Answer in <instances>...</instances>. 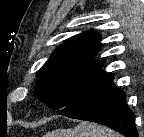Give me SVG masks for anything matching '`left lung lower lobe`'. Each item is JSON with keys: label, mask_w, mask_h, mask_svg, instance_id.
<instances>
[{"label": "left lung lower lobe", "mask_w": 144, "mask_h": 137, "mask_svg": "<svg viewBox=\"0 0 144 137\" xmlns=\"http://www.w3.org/2000/svg\"><path fill=\"white\" fill-rule=\"evenodd\" d=\"M125 98L124 92L114 87L110 75L63 108L59 114L108 126L126 137H138L134 114L126 106Z\"/></svg>", "instance_id": "1"}]
</instances>
